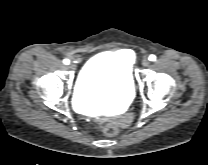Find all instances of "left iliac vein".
<instances>
[{
    "label": "left iliac vein",
    "instance_id": "4c4485c4",
    "mask_svg": "<svg viewBox=\"0 0 208 165\" xmlns=\"http://www.w3.org/2000/svg\"><path fill=\"white\" fill-rule=\"evenodd\" d=\"M142 65H143L144 67H148V66L150 65L149 59H148V58H144V59L142 60Z\"/></svg>",
    "mask_w": 208,
    "mask_h": 165
}]
</instances>
